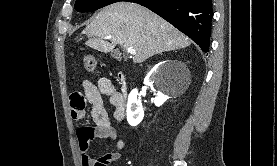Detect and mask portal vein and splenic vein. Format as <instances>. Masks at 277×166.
<instances>
[{
  "label": "portal vein and splenic vein",
  "mask_w": 277,
  "mask_h": 166,
  "mask_svg": "<svg viewBox=\"0 0 277 166\" xmlns=\"http://www.w3.org/2000/svg\"><path fill=\"white\" fill-rule=\"evenodd\" d=\"M106 38H107V39H110V36H107ZM129 52H130V54H132V55L136 54V51H135L134 49H130Z\"/></svg>",
  "instance_id": "1"
}]
</instances>
